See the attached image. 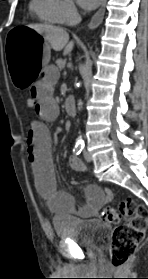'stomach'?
<instances>
[{
  "mask_svg": "<svg viewBox=\"0 0 148 279\" xmlns=\"http://www.w3.org/2000/svg\"><path fill=\"white\" fill-rule=\"evenodd\" d=\"M4 35L5 55H8V79H13L14 91H31L42 75V66L49 62L50 47L43 35L33 30V25H12Z\"/></svg>",
  "mask_w": 148,
  "mask_h": 279,
  "instance_id": "1",
  "label": "stomach"
}]
</instances>
